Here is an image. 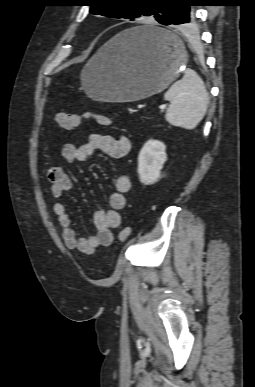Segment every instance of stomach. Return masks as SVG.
I'll return each instance as SVG.
<instances>
[{
	"mask_svg": "<svg viewBox=\"0 0 255 387\" xmlns=\"http://www.w3.org/2000/svg\"><path fill=\"white\" fill-rule=\"evenodd\" d=\"M156 30L163 39L152 41L140 33ZM187 62L186 50L173 33L156 25L126 29L108 41L81 72L89 97L108 102H131L164 90Z\"/></svg>",
	"mask_w": 255,
	"mask_h": 387,
	"instance_id": "1",
	"label": "stomach"
}]
</instances>
